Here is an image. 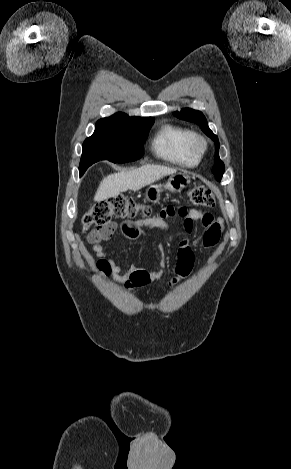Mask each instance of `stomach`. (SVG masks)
<instances>
[{
    "label": "stomach",
    "instance_id": "1",
    "mask_svg": "<svg viewBox=\"0 0 291 469\" xmlns=\"http://www.w3.org/2000/svg\"><path fill=\"white\" fill-rule=\"evenodd\" d=\"M190 183V178L184 173H177L172 175L165 185V188L171 192H180ZM161 186L151 185L146 190V199L149 202L157 203L160 199Z\"/></svg>",
    "mask_w": 291,
    "mask_h": 469
}]
</instances>
